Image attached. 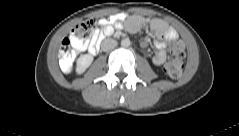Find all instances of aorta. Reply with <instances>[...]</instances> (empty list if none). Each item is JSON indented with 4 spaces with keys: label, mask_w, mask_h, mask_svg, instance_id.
I'll return each instance as SVG.
<instances>
[{
    "label": "aorta",
    "mask_w": 239,
    "mask_h": 136,
    "mask_svg": "<svg viewBox=\"0 0 239 136\" xmlns=\"http://www.w3.org/2000/svg\"><path fill=\"white\" fill-rule=\"evenodd\" d=\"M130 44H131V42H130L129 38H125V39H123V40L121 41V45H122L123 47H129Z\"/></svg>",
    "instance_id": "obj_1"
}]
</instances>
